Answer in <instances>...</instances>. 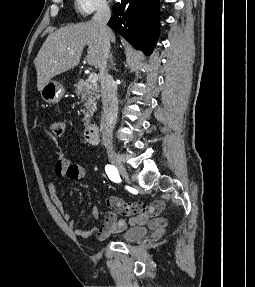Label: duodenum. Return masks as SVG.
Here are the masks:
<instances>
[{"mask_svg": "<svg viewBox=\"0 0 255 287\" xmlns=\"http://www.w3.org/2000/svg\"><path fill=\"white\" fill-rule=\"evenodd\" d=\"M84 139L88 144H96L97 143L98 126L96 124H90L85 128Z\"/></svg>", "mask_w": 255, "mask_h": 287, "instance_id": "410a0bca", "label": "duodenum"}]
</instances>
